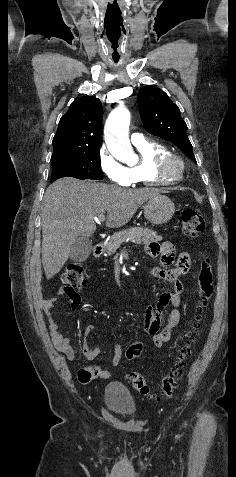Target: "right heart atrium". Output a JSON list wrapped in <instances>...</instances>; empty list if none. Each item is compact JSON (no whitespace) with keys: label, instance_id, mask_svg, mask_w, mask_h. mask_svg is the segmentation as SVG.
Instances as JSON below:
<instances>
[{"label":"right heart atrium","instance_id":"obj_1","mask_svg":"<svg viewBox=\"0 0 236 477\" xmlns=\"http://www.w3.org/2000/svg\"><path fill=\"white\" fill-rule=\"evenodd\" d=\"M99 165L101 171L112 183L120 186H128L130 183L127 167L122 165L105 145L100 148Z\"/></svg>","mask_w":236,"mask_h":477}]
</instances>
